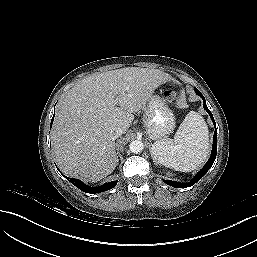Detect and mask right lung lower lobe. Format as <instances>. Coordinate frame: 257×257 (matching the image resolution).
<instances>
[{
    "mask_svg": "<svg viewBox=\"0 0 257 257\" xmlns=\"http://www.w3.org/2000/svg\"><path fill=\"white\" fill-rule=\"evenodd\" d=\"M53 118H54V116H53ZM53 118L51 120V126L53 123ZM66 179H68L74 186H76L80 190H82L86 193H91V194L107 191V190L115 187V185L117 183V181H112V182L105 183L101 186L91 187V186L84 184L82 181H80L78 179H73V178H69V177H66Z\"/></svg>",
    "mask_w": 257,
    "mask_h": 257,
    "instance_id": "obj_1",
    "label": "right lung lower lobe"
}]
</instances>
